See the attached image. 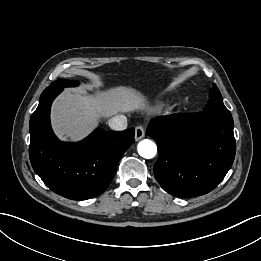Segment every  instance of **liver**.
<instances>
[{"label":"liver","mask_w":261,"mask_h":261,"mask_svg":"<svg viewBox=\"0 0 261 261\" xmlns=\"http://www.w3.org/2000/svg\"><path fill=\"white\" fill-rule=\"evenodd\" d=\"M146 108V99L129 87H113L94 95L66 89L53 103L51 123L59 138L79 141L97 126L101 118Z\"/></svg>","instance_id":"6515ba94"}]
</instances>
